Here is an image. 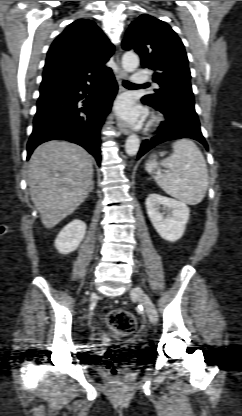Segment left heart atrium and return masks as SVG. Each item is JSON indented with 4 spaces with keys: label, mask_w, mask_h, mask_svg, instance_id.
Returning a JSON list of instances; mask_svg holds the SVG:
<instances>
[{
    "label": "left heart atrium",
    "mask_w": 242,
    "mask_h": 416,
    "mask_svg": "<svg viewBox=\"0 0 242 416\" xmlns=\"http://www.w3.org/2000/svg\"><path fill=\"white\" fill-rule=\"evenodd\" d=\"M116 110L121 118L130 123H136L141 116L140 108L134 106L127 98L118 101Z\"/></svg>",
    "instance_id": "39dd6f15"
}]
</instances>
